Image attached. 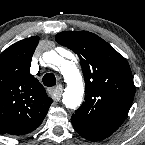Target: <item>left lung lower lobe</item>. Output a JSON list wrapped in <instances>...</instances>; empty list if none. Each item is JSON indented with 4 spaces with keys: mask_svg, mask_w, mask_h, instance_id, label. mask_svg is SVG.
I'll use <instances>...</instances> for the list:
<instances>
[{
    "mask_svg": "<svg viewBox=\"0 0 145 145\" xmlns=\"http://www.w3.org/2000/svg\"><path fill=\"white\" fill-rule=\"evenodd\" d=\"M72 124H73L75 130L82 137H84L85 139H88L90 141L103 140L111 135V133L99 131V130L93 129L91 127H88L87 125H85L73 118H72Z\"/></svg>",
    "mask_w": 145,
    "mask_h": 145,
    "instance_id": "1",
    "label": "left lung lower lobe"
}]
</instances>
